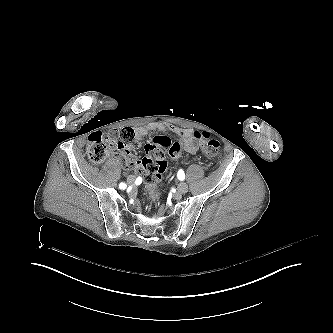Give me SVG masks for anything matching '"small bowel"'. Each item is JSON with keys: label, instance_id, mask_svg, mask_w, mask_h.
<instances>
[{"label": "small bowel", "instance_id": "1", "mask_svg": "<svg viewBox=\"0 0 333 333\" xmlns=\"http://www.w3.org/2000/svg\"><path fill=\"white\" fill-rule=\"evenodd\" d=\"M151 132H161V133H172L182 139L183 146L186 151L189 153H196L198 146L196 144L202 141H210L212 139L211 131H204L199 133L192 129L181 128L177 125L165 122H155L147 126L138 127L136 129V139L138 141L143 140V138ZM116 149L120 150L119 155L117 156V161L123 163L125 169L134 171L133 174L128 176V182L134 184L137 180L139 173L141 172V163L132 156V147L127 145L125 146L123 141H118L116 144ZM180 155H175L173 158H178Z\"/></svg>", "mask_w": 333, "mask_h": 333}]
</instances>
